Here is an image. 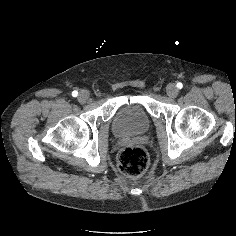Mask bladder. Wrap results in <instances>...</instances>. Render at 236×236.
I'll return each mask as SVG.
<instances>
[{
  "label": "bladder",
  "instance_id": "bladder-1",
  "mask_svg": "<svg viewBox=\"0 0 236 236\" xmlns=\"http://www.w3.org/2000/svg\"><path fill=\"white\" fill-rule=\"evenodd\" d=\"M151 126V117L139 96L128 97L112 120V130L117 136L140 135Z\"/></svg>",
  "mask_w": 236,
  "mask_h": 236
}]
</instances>
